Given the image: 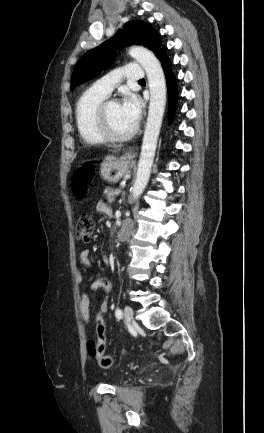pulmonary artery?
I'll return each instance as SVG.
<instances>
[{"mask_svg":"<svg viewBox=\"0 0 264 433\" xmlns=\"http://www.w3.org/2000/svg\"><path fill=\"white\" fill-rule=\"evenodd\" d=\"M144 69L135 64H128L121 69L114 70L106 76L96 80L92 89L105 96L111 94L115 86L121 81V79L127 80H141L144 79Z\"/></svg>","mask_w":264,"mask_h":433,"instance_id":"e3ab8cb5","label":"pulmonary artery"}]
</instances>
